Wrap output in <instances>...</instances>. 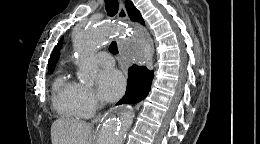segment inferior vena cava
I'll return each mask as SVG.
<instances>
[{
    "label": "inferior vena cava",
    "instance_id": "obj_1",
    "mask_svg": "<svg viewBox=\"0 0 260 144\" xmlns=\"http://www.w3.org/2000/svg\"><path fill=\"white\" fill-rule=\"evenodd\" d=\"M99 119H100V116L96 117V118L92 121V123L98 122Z\"/></svg>",
    "mask_w": 260,
    "mask_h": 144
}]
</instances>
